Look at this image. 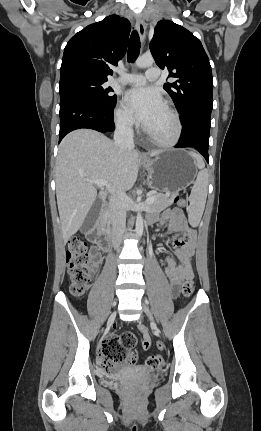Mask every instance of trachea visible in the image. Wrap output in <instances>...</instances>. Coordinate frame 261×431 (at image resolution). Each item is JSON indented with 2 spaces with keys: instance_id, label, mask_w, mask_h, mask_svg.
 I'll return each instance as SVG.
<instances>
[{
  "instance_id": "1",
  "label": "trachea",
  "mask_w": 261,
  "mask_h": 431,
  "mask_svg": "<svg viewBox=\"0 0 261 431\" xmlns=\"http://www.w3.org/2000/svg\"><path fill=\"white\" fill-rule=\"evenodd\" d=\"M140 53V38L137 31H133L130 36L127 59L128 62H135Z\"/></svg>"
}]
</instances>
